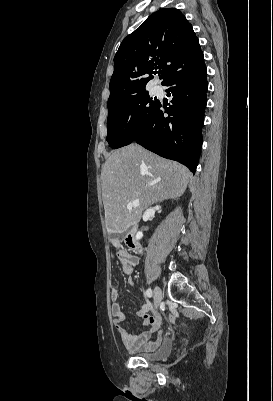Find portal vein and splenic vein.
Wrapping results in <instances>:
<instances>
[{
	"label": "portal vein and splenic vein",
	"mask_w": 273,
	"mask_h": 401,
	"mask_svg": "<svg viewBox=\"0 0 273 401\" xmlns=\"http://www.w3.org/2000/svg\"><path fill=\"white\" fill-rule=\"evenodd\" d=\"M133 207H139V201H132V203H128L127 209H133Z\"/></svg>",
	"instance_id": "obj_1"
}]
</instances>
